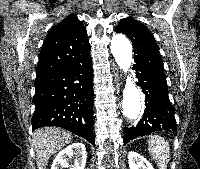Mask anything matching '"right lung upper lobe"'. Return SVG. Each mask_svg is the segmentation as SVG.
I'll return each mask as SVG.
<instances>
[{"label": "right lung upper lobe", "instance_id": "right-lung-upper-lobe-1", "mask_svg": "<svg viewBox=\"0 0 200 169\" xmlns=\"http://www.w3.org/2000/svg\"><path fill=\"white\" fill-rule=\"evenodd\" d=\"M89 53L86 28L76 14L69 15L50 29L40 51L36 77L73 66Z\"/></svg>", "mask_w": 200, "mask_h": 169}]
</instances>
